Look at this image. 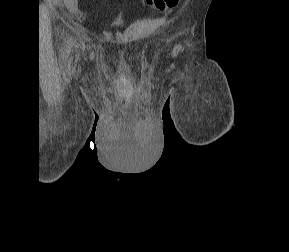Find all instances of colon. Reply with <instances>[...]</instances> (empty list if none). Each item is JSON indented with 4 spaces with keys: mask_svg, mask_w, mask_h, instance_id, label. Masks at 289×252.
<instances>
[{
    "mask_svg": "<svg viewBox=\"0 0 289 252\" xmlns=\"http://www.w3.org/2000/svg\"><path fill=\"white\" fill-rule=\"evenodd\" d=\"M145 2L158 10H165L175 7L179 0H145Z\"/></svg>",
    "mask_w": 289,
    "mask_h": 252,
    "instance_id": "1",
    "label": "colon"
}]
</instances>
